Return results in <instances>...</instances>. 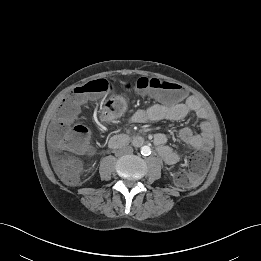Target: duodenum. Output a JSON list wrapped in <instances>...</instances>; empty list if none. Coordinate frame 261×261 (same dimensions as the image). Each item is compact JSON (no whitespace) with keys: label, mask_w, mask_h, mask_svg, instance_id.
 <instances>
[{"label":"duodenum","mask_w":261,"mask_h":261,"mask_svg":"<svg viewBox=\"0 0 261 261\" xmlns=\"http://www.w3.org/2000/svg\"><path fill=\"white\" fill-rule=\"evenodd\" d=\"M131 141L137 145H142L145 142L144 138L141 137L140 135H134L130 137L128 134L121 133V134L114 135L110 139L109 144L111 147H122L127 145Z\"/></svg>","instance_id":"duodenum-1"}]
</instances>
